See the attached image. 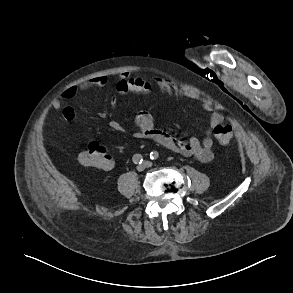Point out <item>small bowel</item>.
I'll list each match as a JSON object with an SVG mask.
<instances>
[{"mask_svg":"<svg viewBox=\"0 0 293 293\" xmlns=\"http://www.w3.org/2000/svg\"><path fill=\"white\" fill-rule=\"evenodd\" d=\"M155 82L165 93L190 99L197 98L193 92L178 88L165 78L156 77ZM106 83L107 79L105 77H97L80 85L70 86L62 93L60 99H56L53 102V107L56 110H61L66 120H73L75 115L74 109L70 106L63 105V102L73 99L81 90L91 87H104ZM116 91L119 94H126L128 92L149 93L151 91V86L149 82L141 77H131L128 73H123L116 83ZM115 104L116 99L114 98L111 100V106L113 107ZM203 108L210 112V118L209 128L206 132V136L202 140L195 137H191L188 140H178L174 138L167 131L157 128L154 124L152 115L148 112L137 114L131 126V131L137 139L150 140L158 143L171 152L187 157H194L203 163H209L214 158L212 129L223 122V116L213 111L206 103L203 104ZM108 126L115 132H124L125 130V127L114 119L109 120ZM113 167L114 162L110 159L109 167L104 170L109 171Z\"/></svg>","mask_w":293,"mask_h":293,"instance_id":"1","label":"small bowel"}]
</instances>
